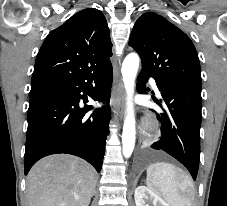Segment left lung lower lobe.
Listing matches in <instances>:
<instances>
[{
	"mask_svg": "<svg viewBox=\"0 0 227 206\" xmlns=\"http://www.w3.org/2000/svg\"><path fill=\"white\" fill-rule=\"evenodd\" d=\"M153 77L161 92L166 107L157 115L161 126V138L151 148L163 150L180 161L197 177L200 158L201 88L153 76L141 70L138 76L137 91L145 93V83ZM158 105L160 102L154 100Z\"/></svg>",
	"mask_w": 227,
	"mask_h": 206,
	"instance_id": "obj_1",
	"label": "left lung lower lobe"
}]
</instances>
